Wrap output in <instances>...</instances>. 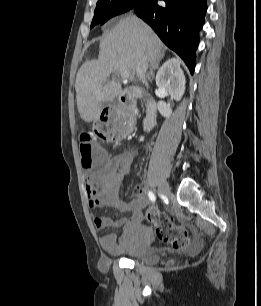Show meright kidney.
Masks as SVG:
<instances>
[{"instance_id": "obj_1", "label": "right kidney", "mask_w": 261, "mask_h": 306, "mask_svg": "<svg viewBox=\"0 0 261 306\" xmlns=\"http://www.w3.org/2000/svg\"><path fill=\"white\" fill-rule=\"evenodd\" d=\"M156 84L158 87L165 89L171 98L179 101L185 92L186 84L184 73L180 67V61L177 59L166 61L157 72ZM157 108L165 118H169L172 114L170 104L164 101H159Z\"/></svg>"}]
</instances>
